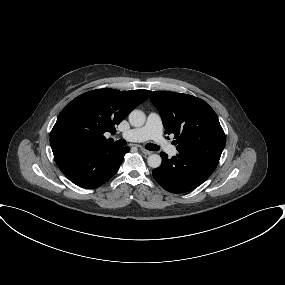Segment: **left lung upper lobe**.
<instances>
[{
  "label": "left lung upper lobe",
  "instance_id": "left-lung-upper-lobe-1",
  "mask_svg": "<svg viewBox=\"0 0 285 285\" xmlns=\"http://www.w3.org/2000/svg\"><path fill=\"white\" fill-rule=\"evenodd\" d=\"M158 109L166 134H174L179 154L218 165L226 144L224 131L213 109L192 95L155 91L150 97Z\"/></svg>",
  "mask_w": 285,
  "mask_h": 285
}]
</instances>
